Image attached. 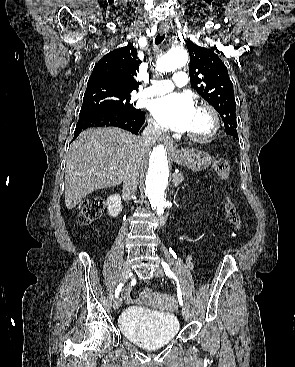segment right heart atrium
<instances>
[{
  "mask_svg": "<svg viewBox=\"0 0 295 367\" xmlns=\"http://www.w3.org/2000/svg\"><path fill=\"white\" fill-rule=\"evenodd\" d=\"M148 126L153 133L160 134L162 132L161 125L152 119L149 120Z\"/></svg>",
  "mask_w": 295,
  "mask_h": 367,
  "instance_id": "right-heart-atrium-1",
  "label": "right heart atrium"
}]
</instances>
